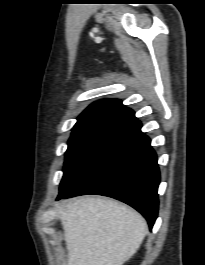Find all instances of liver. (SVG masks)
I'll list each match as a JSON object with an SVG mask.
<instances>
[{
	"label": "liver",
	"mask_w": 205,
	"mask_h": 265,
	"mask_svg": "<svg viewBox=\"0 0 205 265\" xmlns=\"http://www.w3.org/2000/svg\"><path fill=\"white\" fill-rule=\"evenodd\" d=\"M67 265H123L148 233L144 218L118 202L83 197L60 209Z\"/></svg>",
	"instance_id": "obj_1"
}]
</instances>
